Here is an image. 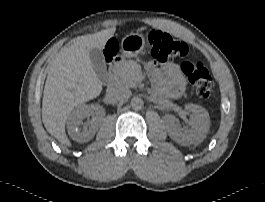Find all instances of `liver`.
<instances>
[{"label":"liver","instance_id":"obj_1","mask_svg":"<svg viewBox=\"0 0 265 202\" xmlns=\"http://www.w3.org/2000/svg\"><path fill=\"white\" fill-rule=\"evenodd\" d=\"M115 30L113 27L78 37L50 63L43 93L42 121L46 130L63 145L71 146L65 130L70 113L102 91L89 51L103 49Z\"/></svg>","mask_w":265,"mask_h":202}]
</instances>
